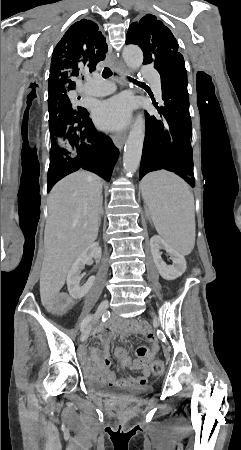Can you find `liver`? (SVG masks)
<instances>
[{
    "label": "liver",
    "instance_id": "obj_1",
    "mask_svg": "<svg viewBox=\"0 0 241 450\" xmlns=\"http://www.w3.org/2000/svg\"><path fill=\"white\" fill-rule=\"evenodd\" d=\"M101 194L100 178L83 170L66 176L52 188L48 196L45 256L40 274L43 306L53 304L74 260L95 242L102 214Z\"/></svg>",
    "mask_w": 241,
    "mask_h": 450
}]
</instances>
